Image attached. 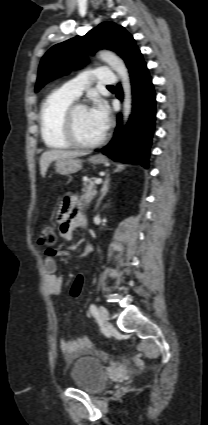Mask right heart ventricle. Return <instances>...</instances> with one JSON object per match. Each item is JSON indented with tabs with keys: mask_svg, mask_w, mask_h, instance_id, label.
I'll return each mask as SVG.
<instances>
[{
	"mask_svg": "<svg viewBox=\"0 0 208 425\" xmlns=\"http://www.w3.org/2000/svg\"><path fill=\"white\" fill-rule=\"evenodd\" d=\"M75 99L61 90L53 91L41 105L40 132L44 144L55 150L69 149L73 146L64 136L63 117Z\"/></svg>",
	"mask_w": 208,
	"mask_h": 425,
	"instance_id": "e07e8e85",
	"label": "right heart ventricle"
}]
</instances>
